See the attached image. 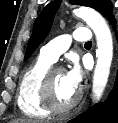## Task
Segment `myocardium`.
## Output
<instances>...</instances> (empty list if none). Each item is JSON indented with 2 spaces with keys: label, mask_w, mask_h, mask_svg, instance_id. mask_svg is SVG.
I'll return each mask as SVG.
<instances>
[{
  "label": "myocardium",
  "mask_w": 118,
  "mask_h": 123,
  "mask_svg": "<svg viewBox=\"0 0 118 123\" xmlns=\"http://www.w3.org/2000/svg\"><path fill=\"white\" fill-rule=\"evenodd\" d=\"M64 72L62 67H50L41 82V101L50 113L62 114L72 110L81 100L82 92L78 90L75 97L66 105H60L54 98L53 79L56 73Z\"/></svg>",
  "instance_id": "1"
}]
</instances>
